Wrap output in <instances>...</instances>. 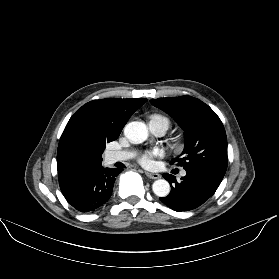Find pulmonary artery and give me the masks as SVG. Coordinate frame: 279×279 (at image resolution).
Segmentation results:
<instances>
[{
    "instance_id": "e3ab8cb5",
    "label": "pulmonary artery",
    "mask_w": 279,
    "mask_h": 279,
    "mask_svg": "<svg viewBox=\"0 0 279 279\" xmlns=\"http://www.w3.org/2000/svg\"><path fill=\"white\" fill-rule=\"evenodd\" d=\"M150 131L156 136H162L167 127L165 124L160 122H150L149 123ZM133 157V153L130 151H111L107 153L106 159L108 163H114L119 161H124ZM182 176L186 175L185 171L181 172Z\"/></svg>"
}]
</instances>
